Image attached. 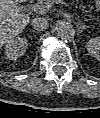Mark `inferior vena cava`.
<instances>
[{
    "label": "inferior vena cava",
    "mask_w": 100,
    "mask_h": 118,
    "mask_svg": "<svg viewBox=\"0 0 100 118\" xmlns=\"http://www.w3.org/2000/svg\"><path fill=\"white\" fill-rule=\"evenodd\" d=\"M31 24H32V27L35 29V30H38V31H44L47 29L49 23L47 21V19L45 18H34L32 21H31Z\"/></svg>",
    "instance_id": "602c4592"
}]
</instances>
